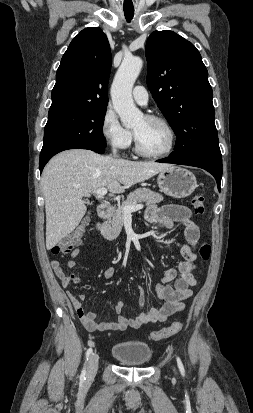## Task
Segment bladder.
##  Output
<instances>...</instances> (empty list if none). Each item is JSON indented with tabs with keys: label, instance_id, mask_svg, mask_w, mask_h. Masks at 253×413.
Segmentation results:
<instances>
[{
	"label": "bladder",
	"instance_id": "bladder-1",
	"mask_svg": "<svg viewBox=\"0 0 253 413\" xmlns=\"http://www.w3.org/2000/svg\"><path fill=\"white\" fill-rule=\"evenodd\" d=\"M111 354L120 364L134 367L145 366L152 358L151 348L138 342L116 344Z\"/></svg>",
	"mask_w": 253,
	"mask_h": 413
}]
</instances>
